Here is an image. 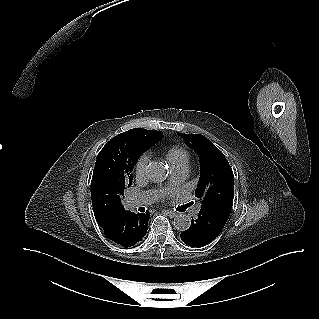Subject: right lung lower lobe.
I'll list each match as a JSON object with an SVG mask.
<instances>
[{"label":"right lung lower lobe","instance_id":"obj_1","mask_svg":"<svg viewBox=\"0 0 319 319\" xmlns=\"http://www.w3.org/2000/svg\"><path fill=\"white\" fill-rule=\"evenodd\" d=\"M149 218V212L134 214L122 207L114 210L99 225L108 239L123 247H131L146 235Z\"/></svg>","mask_w":319,"mask_h":319}]
</instances>
